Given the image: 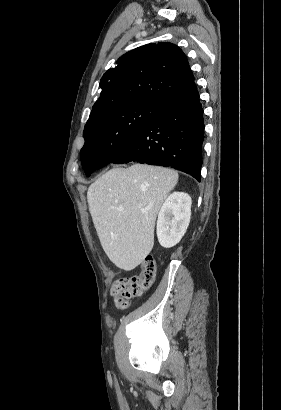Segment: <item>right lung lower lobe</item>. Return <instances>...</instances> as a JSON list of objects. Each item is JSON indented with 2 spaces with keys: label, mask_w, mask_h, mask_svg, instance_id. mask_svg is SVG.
Wrapping results in <instances>:
<instances>
[{
  "label": "right lung lower lobe",
  "mask_w": 281,
  "mask_h": 410,
  "mask_svg": "<svg viewBox=\"0 0 281 410\" xmlns=\"http://www.w3.org/2000/svg\"><path fill=\"white\" fill-rule=\"evenodd\" d=\"M204 116L198 90L157 110L138 137L112 163L171 167L201 180Z\"/></svg>",
  "instance_id": "1"
}]
</instances>
